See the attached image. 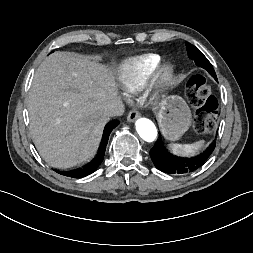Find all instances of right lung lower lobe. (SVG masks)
Returning <instances> with one entry per match:
<instances>
[{"instance_id": "98d812e1", "label": "right lung lower lobe", "mask_w": 253, "mask_h": 253, "mask_svg": "<svg viewBox=\"0 0 253 253\" xmlns=\"http://www.w3.org/2000/svg\"><path fill=\"white\" fill-rule=\"evenodd\" d=\"M117 125H118L117 121H111L105 126L99 151L96 157L90 163L86 164L83 168L74 169L72 171H64V172L56 171V172L61 175L72 178H82L93 173L103 161L106 146L109 139V134Z\"/></svg>"}]
</instances>
